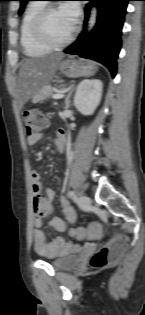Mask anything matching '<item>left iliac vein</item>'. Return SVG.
Returning <instances> with one entry per match:
<instances>
[{
  "mask_svg": "<svg viewBox=\"0 0 145 315\" xmlns=\"http://www.w3.org/2000/svg\"><path fill=\"white\" fill-rule=\"evenodd\" d=\"M78 204L82 208L88 207L91 204V199L86 195H82L78 198Z\"/></svg>",
  "mask_w": 145,
  "mask_h": 315,
  "instance_id": "obj_1",
  "label": "left iliac vein"
}]
</instances>
